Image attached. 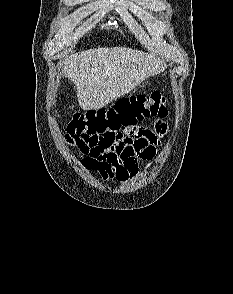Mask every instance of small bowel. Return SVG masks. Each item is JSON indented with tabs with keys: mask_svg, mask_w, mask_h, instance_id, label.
<instances>
[{
	"mask_svg": "<svg viewBox=\"0 0 233 294\" xmlns=\"http://www.w3.org/2000/svg\"><path fill=\"white\" fill-rule=\"evenodd\" d=\"M142 125H153V120H142ZM131 131L135 132H125V137H133V140L123 149H105L101 155L85 156L81 164L89 172H96L104 181L114 179L123 182L135 177L138 173V160L154 157L160 136L166 132V127L161 124L156 131H151L148 126H131ZM110 154L119 155L112 158Z\"/></svg>",
	"mask_w": 233,
	"mask_h": 294,
	"instance_id": "small-bowel-1",
	"label": "small bowel"
}]
</instances>
